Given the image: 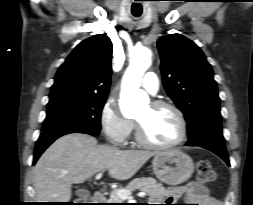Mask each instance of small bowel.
<instances>
[{
	"label": "small bowel",
	"instance_id": "1",
	"mask_svg": "<svg viewBox=\"0 0 253 205\" xmlns=\"http://www.w3.org/2000/svg\"><path fill=\"white\" fill-rule=\"evenodd\" d=\"M184 196L187 201L196 203L190 205H220L212 197L208 188L198 182H190L186 186L175 188L170 194V200H175Z\"/></svg>",
	"mask_w": 253,
	"mask_h": 205
}]
</instances>
